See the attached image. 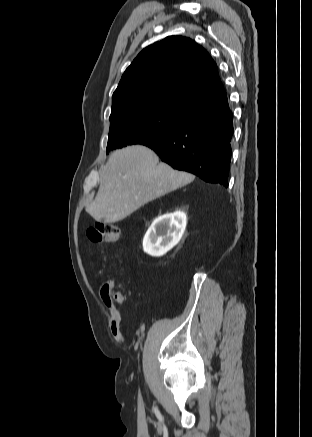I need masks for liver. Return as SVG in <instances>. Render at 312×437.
Returning <instances> with one entry per match:
<instances>
[{
	"label": "liver",
	"instance_id": "liver-1",
	"mask_svg": "<svg viewBox=\"0 0 312 437\" xmlns=\"http://www.w3.org/2000/svg\"><path fill=\"white\" fill-rule=\"evenodd\" d=\"M194 175L174 170L150 148L128 146L108 158L95 199L86 211L96 221L118 222L141 206L194 180Z\"/></svg>",
	"mask_w": 312,
	"mask_h": 437
}]
</instances>
